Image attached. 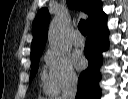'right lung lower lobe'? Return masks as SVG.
<instances>
[{
	"label": "right lung lower lobe",
	"instance_id": "right-lung-lower-lobe-1",
	"mask_svg": "<svg viewBox=\"0 0 128 99\" xmlns=\"http://www.w3.org/2000/svg\"><path fill=\"white\" fill-rule=\"evenodd\" d=\"M107 15L102 11L88 25V37L84 49L85 57L88 59V67L78 79V89L75 99H99L101 89L99 72L102 64L101 53L108 49V29L106 27Z\"/></svg>",
	"mask_w": 128,
	"mask_h": 99
}]
</instances>
